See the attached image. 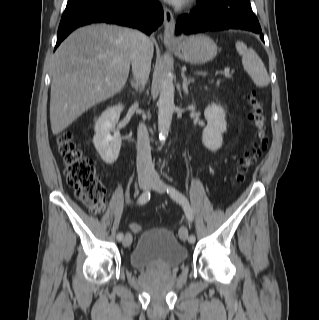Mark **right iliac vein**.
Wrapping results in <instances>:
<instances>
[{
	"instance_id": "obj_1",
	"label": "right iliac vein",
	"mask_w": 319,
	"mask_h": 320,
	"mask_svg": "<svg viewBox=\"0 0 319 320\" xmlns=\"http://www.w3.org/2000/svg\"><path fill=\"white\" fill-rule=\"evenodd\" d=\"M138 183H139L140 189L145 190L151 184V179L148 178V177H142V178L139 179ZM131 242H132L131 234L130 233H126L125 237L123 239V242H122L123 246L124 247H129L131 245Z\"/></svg>"
}]
</instances>
